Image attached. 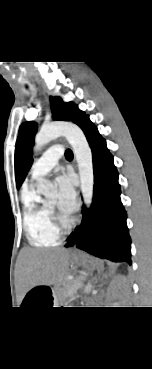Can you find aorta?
Returning <instances> with one entry per match:
<instances>
[{
    "label": "aorta",
    "mask_w": 152,
    "mask_h": 369,
    "mask_svg": "<svg viewBox=\"0 0 152 369\" xmlns=\"http://www.w3.org/2000/svg\"><path fill=\"white\" fill-rule=\"evenodd\" d=\"M64 136L72 146L79 168L81 193L84 203L89 207L92 203L94 189V173L92 152L83 131L69 122H58L43 125L35 137V150L42 149L51 140ZM38 191L46 197L57 194L56 187L48 180L40 181Z\"/></svg>",
    "instance_id": "obj_1"
}]
</instances>
